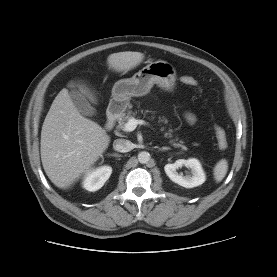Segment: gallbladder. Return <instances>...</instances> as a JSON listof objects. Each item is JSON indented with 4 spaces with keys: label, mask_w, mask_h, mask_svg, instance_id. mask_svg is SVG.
<instances>
[{
    "label": "gallbladder",
    "mask_w": 277,
    "mask_h": 277,
    "mask_svg": "<svg viewBox=\"0 0 277 277\" xmlns=\"http://www.w3.org/2000/svg\"><path fill=\"white\" fill-rule=\"evenodd\" d=\"M70 98L74 106L83 115L90 116V117L96 115V109L89 103V101L79 91L71 90Z\"/></svg>",
    "instance_id": "obj_1"
}]
</instances>
